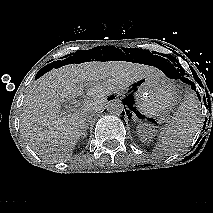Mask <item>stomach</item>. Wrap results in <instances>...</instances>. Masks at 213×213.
Listing matches in <instances>:
<instances>
[{"label":"stomach","instance_id":"0dacf381","mask_svg":"<svg viewBox=\"0 0 213 213\" xmlns=\"http://www.w3.org/2000/svg\"><path fill=\"white\" fill-rule=\"evenodd\" d=\"M138 111L149 118L159 119L179 103L176 87L164 76H145L133 84Z\"/></svg>","mask_w":213,"mask_h":213}]
</instances>
